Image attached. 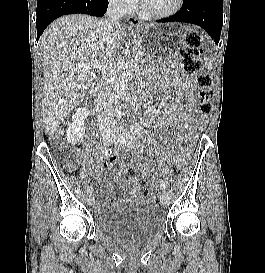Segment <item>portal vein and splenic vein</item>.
Returning <instances> with one entry per match:
<instances>
[{"instance_id": "1", "label": "portal vein and splenic vein", "mask_w": 265, "mask_h": 273, "mask_svg": "<svg viewBox=\"0 0 265 273\" xmlns=\"http://www.w3.org/2000/svg\"><path fill=\"white\" fill-rule=\"evenodd\" d=\"M140 55H137L136 58L140 59ZM103 67L102 63L99 62L98 60L94 59V60H91L85 64H82L78 67H75L72 69V71L74 72H79V71H82V70H86V69H101Z\"/></svg>"}]
</instances>
